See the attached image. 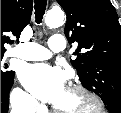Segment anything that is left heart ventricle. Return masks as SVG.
Returning <instances> with one entry per match:
<instances>
[{
    "mask_svg": "<svg viewBox=\"0 0 121 113\" xmlns=\"http://www.w3.org/2000/svg\"><path fill=\"white\" fill-rule=\"evenodd\" d=\"M55 107L61 111L92 110L93 105L81 94L73 92L66 88L55 104Z\"/></svg>",
    "mask_w": 121,
    "mask_h": 113,
    "instance_id": "b2bd125f",
    "label": "left heart ventricle"
}]
</instances>
